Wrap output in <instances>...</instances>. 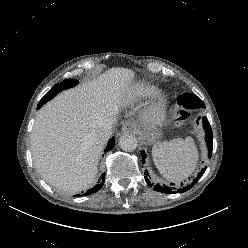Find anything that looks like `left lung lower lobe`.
I'll use <instances>...</instances> for the list:
<instances>
[{
    "label": "left lung lower lobe",
    "mask_w": 248,
    "mask_h": 248,
    "mask_svg": "<svg viewBox=\"0 0 248 248\" xmlns=\"http://www.w3.org/2000/svg\"><path fill=\"white\" fill-rule=\"evenodd\" d=\"M202 122H203V127H204L205 133H206L205 139H206V143L208 145V150H209L208 156L210 158L211 157V153H212V148H213V133H212V129H211V126L209 124V121H208V119L206 117H203ZM141 155H142V160H143V163H144L145 162L144 159L146 157L145 151H142V154ZM205 170H206V167L202 169V171L198 174V177L195 178L190 185H188V186H181V188L177 190V193L185 192V191L189 190L190 188H192L194 186V184L204 174ZM145 180H146V182H147V184L149 186H151V187L153 186V189L155 191H158V192H161V193H173V190H175V188L173 187L174 186L173 183H171L170 184V187H169V186H166V185L160 186L159 183H157L155 185L154 184H151L150 181H149V179L147 177H145Z\"/></svg>",
    "instance_id": "obj_1"
}]
</instances>
